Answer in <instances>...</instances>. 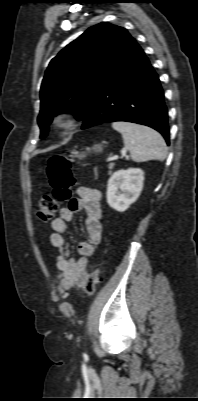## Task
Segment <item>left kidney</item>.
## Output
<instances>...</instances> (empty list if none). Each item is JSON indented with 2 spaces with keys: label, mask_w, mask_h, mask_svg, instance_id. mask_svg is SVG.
Here are the masks:
<instances>
[{
  "label": "left kidney",
  "mask_w": 198,
  "mask_h": 401,
  "mask_svg": "<svg viewBox=\"0 0 198 401\" xmlns=\"http://www.w3.org/2000/svg\"><path fill=\"white\" fill-rule=\"evenodd\" d=\"M144 172L139 168L116 171L108 180L107 202L118 212L133 204L143 188Z\"/></svg>",
  "instance_id": "5707ae66"
}]
</instances>
